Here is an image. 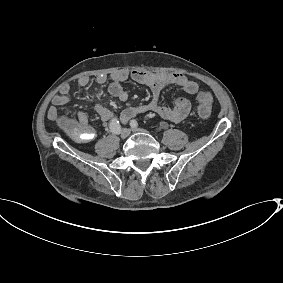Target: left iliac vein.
<instances>
[{"label": "left iliac vein", "mask_w": 283, "mask_h": 283, "mask_svg": "<svg viewBox=\"0 0 283 283\" xmlns=\"http://www.w3.org/2000/svg\"><path fill=\"white\" fill-rule=\"evenodd\" d=\"M131 130L133 131V132H147L145 129H143V128H139V127H137V126H133V127H131Z\"/></svg>", "instance_id": "4c4485c4"}]
</instances>
